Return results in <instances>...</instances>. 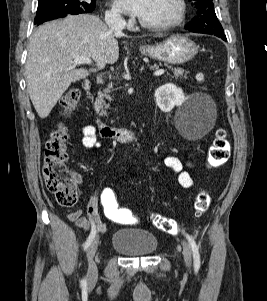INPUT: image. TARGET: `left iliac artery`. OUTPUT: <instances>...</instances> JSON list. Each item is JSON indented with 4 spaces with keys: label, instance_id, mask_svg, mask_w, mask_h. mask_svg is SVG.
Masks as SVG:
<instances>
[{
    "label": "left iliac artery",
    "instance_id": "obj_1",
    "mask_svg": "<svg viewBox=\"0 0 267 301\" xmlns=\"http://www.w3.org/2000/svg\"><path fill=\"white\" fill-rule=\"evenodd\" d=\"M186 238L189 241V244L192 248V252H193V259H194V266L196 268L200 267V254H199V248L194 240V238L192 236H190L189 234L185 233Z\"/></svg>",
    "mask_w": 267,
    "mask_h": 301
}]
</instances>
